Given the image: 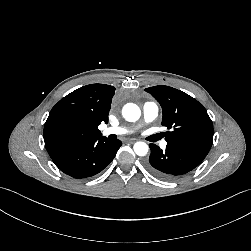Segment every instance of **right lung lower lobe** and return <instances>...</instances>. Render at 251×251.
Listing matches in <instances>:
<instances>
[{
	"label": "right lung lower lobe",
	"mask_w": 251,
	"mask_h": 251,
	"mask_svg": "<svg viewBox=\"0 0 251 251\" xmlns=\"http://www.w3.org/2000/svg\"><path fill=\"white\" fill-rule=\"evenodd\" d=\"M121 145L119 140L109 141L100 137L67 145L51 158L62 172L82 179L101 172L113 160Z\"/></svg>",
	"instance_id": "98d812e1"
}]
</instances>
